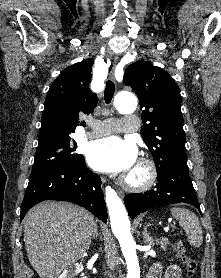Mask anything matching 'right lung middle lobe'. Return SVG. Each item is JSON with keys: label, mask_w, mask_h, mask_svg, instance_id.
Instances as JSON below:
<instances>
[{"label": "right lung middle lobe", "mask_w": 221, "mask_h": 278, "mask_svg": "<svg viewBox=\"0 0 221 278\" xmlns=\"http://www.w3.org/2000/svg\"><path fill=\"white\" fill-rule=\"evenodd\" d=\"M75 149L76 143L70 136L39 141L30 178L55 167L83 163V155L75 153Z\"/></svg>", "instance_id": "1"}]
</instances>
